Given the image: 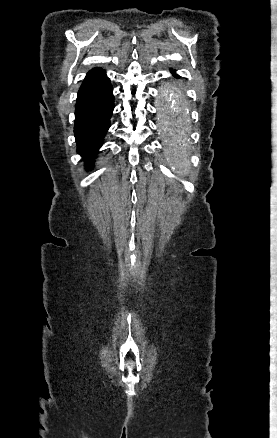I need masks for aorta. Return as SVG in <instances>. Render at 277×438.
I'll return each mask as SVG.
<instances>
[{
    "label": "aorta",
    "mask_w": 277,
    "mask_h": 438,
    "mask_svg": "<svg viewBox=\"0 0 277 438\" xmlns=\"http://www.w3.org/2000/svg\"><path fill=\"white\" fill-rule=\"evenodd\" d=\"M167 105L159 109L160 130L167 142V156L172 168L179 174L188 171L184 157V143L189 133V117L184 103L173 89H165Z\"/></svg>",
    "instance_id": "762f6f07"
}]
</instances>
